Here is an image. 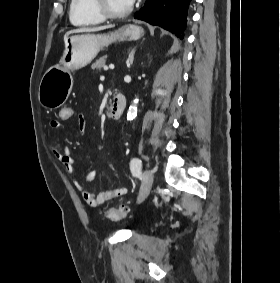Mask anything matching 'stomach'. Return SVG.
<instances>
[{"mask_svg": "<svg viewBox=\"0 0 280 283\" xmlns=\"http://www.w3.org/2000/svg\"><path fill=\"white\" fill-rule=\"evenodd\" d=\"M144 35L138 25H125L107 34L74 35L67 39L62 58L58 65L50 67L43 75L38 99L47 109L58 108L67 100L73 87L72 72L91 63L100 50L119 41H135Z\"/></svg>", "mask_w": 280, "mask_h": 283, "instance_id": "stomach-1", "label": "stomach"}]
</instances>
